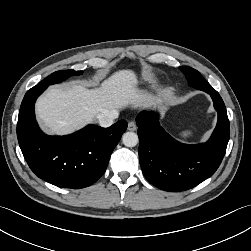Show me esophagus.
Here are the masks:
<instances>
[{
  "label": "esophagus",
  "mask_w": 251,
  "mask_h": 251,
  "mask_svg": "<svg viewBox=\"0 0 251 251\" xmlns=\"http://www.w3.org/2000/svg\"><path fill=\"white\" fill-rule=\"evenodd\" d=\"M137 129L135 121H129L128 123V130L129 131H135Z\"/></svg>",
  "instance_id": "34e87169"
}]
</instances>
